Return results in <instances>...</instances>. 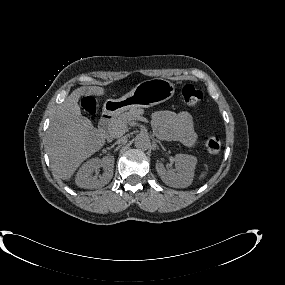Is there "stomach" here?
I'll list each match as a JSON object with an SVG mask.
<instances>
[{"mask_svg": "<svg viewBox=\"0 0 285 285\" xmlns=\"http://www.w3.org/2000/svg\"><path fill=\"white\" fill-rule=\"evenodd\" d=\"M175 93L172 82L154 78L139 83L133 92L127 93L119 99H108L103 110L108 115H119L135 108H147L169 100Z\"/></svg>", "mask_w": 285, "mask_h": 285, "instance_id": "stomach-1", "label": "stomach"}]
</instances>
